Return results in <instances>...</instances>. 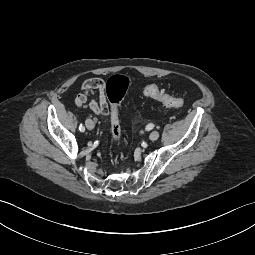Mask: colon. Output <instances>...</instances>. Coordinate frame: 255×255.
I'll list each match as a JSON object with an SVG mask.
<instances>
[{"label": "colon", "mask_w": 255, "mask_h": 255, "mask_svg": "<svg viewBox=\"0 0 255 255\" xmlns=\"http://www.w3.org/2000/svg\"><path fill=\"white\" fill-rule=\"evenodd\" d=\"M129 87V79L123 75H113L106 83V92L112 103L111 112V133L114 141L119 143L121 138V128L118 115V107ZM143 93L152 99L159 101L164 107L180 108L185 105V99L165 94L154 84L146 85Z\"/></svg>", "instance_id": "colon-1"}]
</instances>
